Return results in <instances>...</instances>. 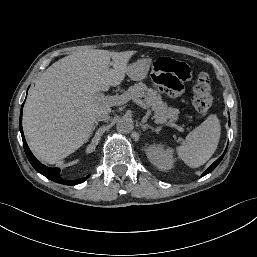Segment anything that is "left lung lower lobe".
<instances>
[{"instance_id": "left-lung-lower-lobe-1", "label": "left lung lower lobe", "mask_w": 257, "mask_h": 257, "mask_svg": "<svg viewBox=\"0 0 257 257\" xmlns=\"http://www.w3.org/2000/svg\"><path fill=\"white\" fill-rule=\"evenodd\" d=\"M226 150H227V149H226ZM226 150H225V152L222 154V156H221L218 160H216V161L202 174V176H204V175L210 173L212 170L215 169V167H216V166L221 162V160L223 159V157H224V155H225V153H226Z\"/></svg>"}]
</instances>
